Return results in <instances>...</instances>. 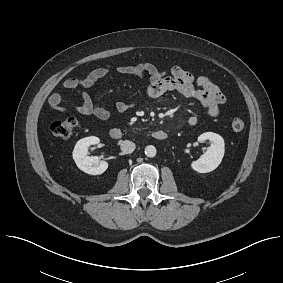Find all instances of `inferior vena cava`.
<instances>
[{
  "instance_id": "1",
  "label": "inferior vena cava",
  "mask_w": 283,
  "mask_h": 283,
  "mask_svg": "<svg viewBox=\"0 0 283 283\" xmlns=\"http://www.w3.org/2000/svg\"><path fill=\"white\" fill-rule=\"evenodd\" d=\"M120 148L123 153L130 154L135 150L136 145L132 141L124 140L120 143Z\"/></svg>"
}]
</instances>
